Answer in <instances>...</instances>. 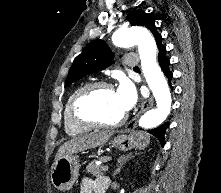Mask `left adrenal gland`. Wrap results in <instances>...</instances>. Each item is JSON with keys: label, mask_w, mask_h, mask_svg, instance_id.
<instances>
[{"label": "left adrenal gland", "mask_w": 221, "mask_h": 193, "mask_svg": "<svg viewBox=\"0 0 221 193\" xmlns=\"http://www.w3.org/2000/svg\"><path fill=\"white\" fill-rule=\"evenodd\" d=\"M135 155H137V153H135ZM135 155H133L132 153H130V154H128L127 156H121V157L118 159V161H117L118 167H117V169L114 171V173H113V175H112L113 178H115V176L120 173V171H121V169L123 168V166H124L129 160H131L132 158H134Z\"/></svg>", "instance_id": "a2214340"}]
</instances>
